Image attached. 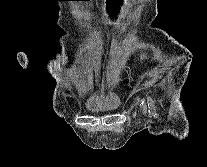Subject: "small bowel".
Instances as JSON below:
<instances>
[{
    "label": "small bowel",
    "mask_w": 207,
    "mask_h": 167,
    "mask_svg": "<svg viewBox=\"0 0 207 167\" xmlns=\"http://www.w3.org/2000/svg\"><path fill=\"white\" fill-rule=\"evenodd\" d=\"M114 3H125V0H105L104 9H121V5ZM105 14H126V10H105Z\"/></svg>",
    "instance_id": "obj_1"
}]
</instances>
